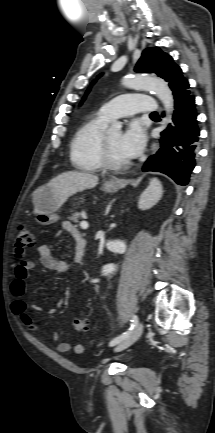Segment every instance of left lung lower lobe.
Listing matches in <instances>:
<instances>
[{
  "instance_id": "0a47b994",
  "label": "left lung lower lobe",
  "mask_w": 215,
  "mask_h": 433,
  "mask_svg": "<svg viewBox=\"0 0 215 433\" xmlns=\"http://www.w3.org/2000/svg\"><path fill=\"white\" fill-rule=\"evenodd\" d=\"M170 88L175 100L173 124L162 132L161 148L147 160L143 171L164 173L184 186L196 165L200 131L195 98L190 94L188 81L182 77Z\"/></svg>"
}]
</instances>
